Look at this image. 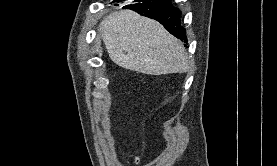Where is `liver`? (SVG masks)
<instances>
[{"label":"liver","instance_id":"6515ba94","mask_svg":"<svg viewBox=\"0 0 277 166\" xmlns=\"http://www.w3.org/2000/svg\"><path fill=\"white\" fill-rule=\"evenodd\" d=\"M111 60L149 75L182 73L189 67L183 44L152 19L131 10L116 11L99 25Z\"/></svg>","mask_w":277,"mask_h":166}]
</instances>
